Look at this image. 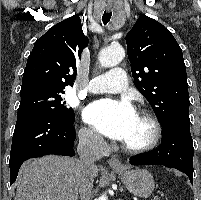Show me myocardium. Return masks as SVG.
<instances>
[{"label": "myocardium", "mask_w": 201, "mask_h": 200, "mask_svg": "<svg viewBox=\"0 0 201 200\" xmlns=\"http://www.w3.org/2000/svg\"><path fill=\"white\" fill-rule=\"evenodd\" d=\"M137 115L145 118L150 123L152 127V135L147 143L140 146H130L125 143L122 144V147L126 152L134 154L145 153L154 149L158 145L162 137L161 123L151 111L147 109H139L137 111Z\"/></svg>", "instance_id": "myocardium-1"}]
</instances>
